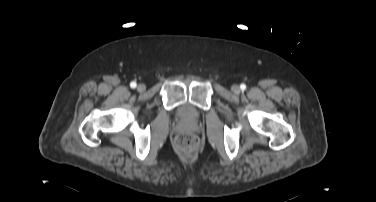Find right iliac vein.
Wrapping results in <instances>:
<instances>
[{
  "label": "right iliac vein",
  "mask_w": 376,
  "mask_h": 202,
  "mask_svg": "<svg viewBox=\"0 0 376 202\" xmlns=\"http://www.w3.org/2000/svg\"><path fill=\"white\" fill-rule=\"evenodd\" d=\"M145 89H146V86H145L144 84H139V85L137 86V90H138L139 92H143Z\"/></svg>",
  "instance_id": "right-iliac-vein-1"
}]
</instances>
